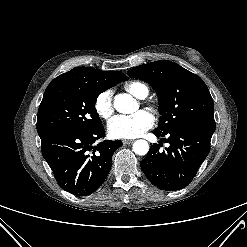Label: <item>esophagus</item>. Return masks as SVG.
Returning <instances> with one entry per match:
<instances>
[{"label":"esophagus","mask_w":247,"mask_h":247,"mask_svg":"<svg viewBox=\"0 0 247 247\" xmlns=\"http://www.w3.org/2000/svg\"><path fill=\"white\" fill-rule=\"evenodd\" d=\"M134 140H126L124 139L122 142L123 144H130V143H133Z\"/></svg>","instance_id":"esophagus-1"}]
</instances>
